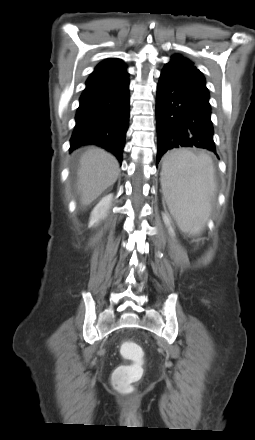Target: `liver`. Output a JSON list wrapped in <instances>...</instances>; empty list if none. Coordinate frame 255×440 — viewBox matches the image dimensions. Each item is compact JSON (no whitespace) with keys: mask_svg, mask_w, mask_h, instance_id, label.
<instances>
[{"mask_svg":"<svg viewBox=\"0 0 255 440\" xmlns=\"http://www.w3.org/2000/svg\"><path fill=\"white\" fill-rule=\"evenodd\" d=\"M119 172V163L112 154L98 147L88 148L80 158L77 172L82 205H89L112 186Z\"/></svg>","mask_w":255,"mask_h":440,"instance_id":"obj_1","label":"liver"}]
</instances>
